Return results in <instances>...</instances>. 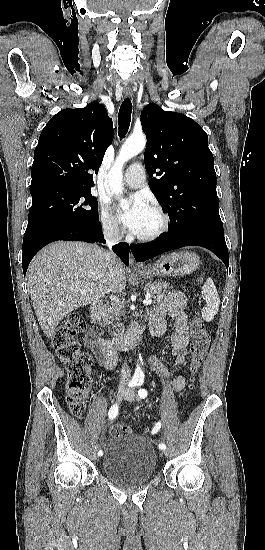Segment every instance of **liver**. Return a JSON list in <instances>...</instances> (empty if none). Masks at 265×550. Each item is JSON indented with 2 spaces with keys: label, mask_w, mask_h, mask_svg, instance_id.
Returning <instances> with one entry per match:
<instances>
[{
  "label": "liver",
  "mask_w": 265,
  "mask_h": 550,
  "mask_svg": "<svg viewBox=\"0 0 265 550\" xmlns=\"http://www.w3.org/2000/svg\"><path fill=\"white\" fill-rule=\"evenodd\" d=\"M105 253L97 245L58 241L33 258L27 284L46 337H52L60 321L72 311L125 289L124 265L116 259L115 274L110 276Z\"/></svg>",
  "instance_id": "6515ba94"
}]
</instances>
